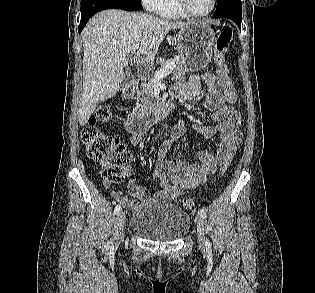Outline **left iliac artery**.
<instances>
[{
    "mask_svg": "<svg viewBox=\"0 0 315 293\" xmlns=\"http://www.w3.org/2000/svg\"><path fill=\"white\" fill-rule=\"evenodd\" d=\"M200 215H201L204 219H206V217H207L206 211H205L203 208L200 209ZM205 246H206L208 249L211 248V243H210L209 240H206Z\"/></svg>",
    "mask_w": 315,
    "mask_h": 293,
    "instance_id": "1",
    "label": "left iliac artery"
}]
</instances>
